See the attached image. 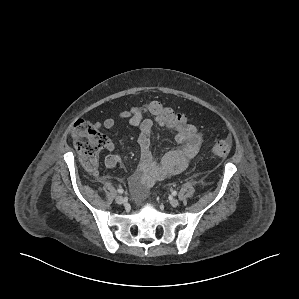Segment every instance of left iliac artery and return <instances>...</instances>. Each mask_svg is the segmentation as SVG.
I'll return each mask as SVG.
<instances>
[{"label":"left iliac artery","instance_id":"1","mask_svg":"<svg viewBox=\"0 0 299 299\" xmlns=\"http://www.w3.org/2000/svg\"><path fill=\"white\" fill-rule=\"evenodd\" d=\"M172 195L176 196L177 195V191H172Z\"/></svg>","mask_w":299,"mask_h":299}]
</instances>
